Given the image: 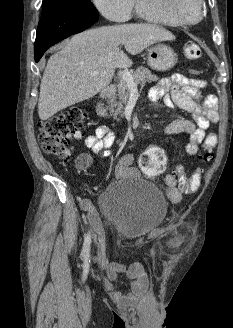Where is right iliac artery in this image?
<instances>
[{
  "label": "right iliac artery",
  "mask_w": 233,
  "mask_h": 328,
  "mask_svg": "<svg viewBox=\"0 0 233 328\" xmlns=\"http://www.w3.org/2000/svg\"><path fill=\"white\" fill-rule=\"evenodd\" d=\"M91 238L90 235L87 234L84 238L83 248L81 252V256L87 258L90 252Z\"/></svg>",
  "instance_id": "82829eb1"
}]
</instances>
